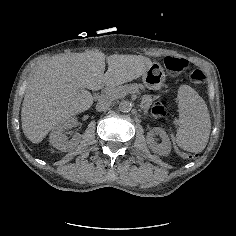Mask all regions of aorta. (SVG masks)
Here are the masks:
<instances>
[{"label":"aorta","mask_w":236,"mask_h":236,"mask_svg":"<svg viewBox=\"0 0 236 236\" xmlns=\"http://www.w3.org/2000/svg\"><path fill=\"white\" fill-rule=\"evenodd\" d=\"M119 110L121 112H129L131 109H132V103L128 100H122L120 103H119Z\"/></svg>","instance_id":"obj_1"}]
</instances>
